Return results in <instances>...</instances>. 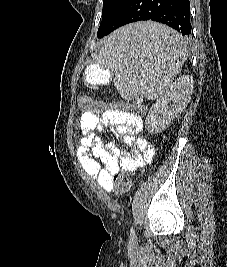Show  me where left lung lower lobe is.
I'll return each mask as SVG.
<instances>
[{"instance_id": "left-lung-lower-lobe-1", "label": "left lung lower lobe", "mask_w": 227, "mask_h": 267, "mask_svg": "<svg viewBox=\"0 0 227 267\" xmlns=\"http://www.w3.org/2000/svg\"><path fill=\"white\" fill-rule=\"evenodd\" d=\"M152 20L168 25L183 36L191 34L189 0H128L123 9L105 25L99 27L98 37L102 38L126 24ZM142 45L148 48L168 47L174 44L169 40H156L145 35Z\"/></svg>"}]
</instances>
